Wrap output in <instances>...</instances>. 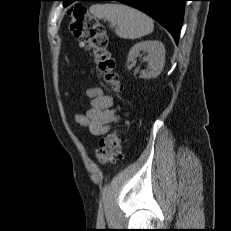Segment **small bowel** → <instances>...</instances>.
<instances>
[{"label": "small bowel", "instance_id": "c3829d8e", "mask_svg": "<svg viewBox=\"0 0 231 231\" xmlns=\"http://www.w3.org/2000/svg\"><path fill=\"white\" fill-rule=\"evenodd\" d=\"M87 96L91 99V106L85 114L76 115L75 122L86 128L91 135H104L119 120L117 110L113 108V100L100 88L89 89Z\"/></svg>", "mask_w": 231, "mask_h": 231}]
</instances>
